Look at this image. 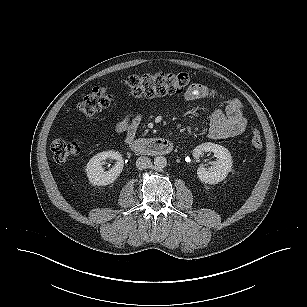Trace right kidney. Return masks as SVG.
Returning a JSON list of instances; mask_svg holds the SVG:
<instances>
[{
    "instance_id": "1",
    "label": "right kidney",
    "mask_w": 307,
    "mask_h": 307,
    "mask_svg": "<svg viewBox=\"0 0 307 307\" xmlns=\"http://www.w3.org/2000/svg\"><path fill=\"white\" fill-rule=\"evenodd\" d=\"M111 158L116 160L115 166L109 171H104L102 161ZM123 169V158L119 152L113 150L104 151L93 156L86 166L89 181L97 186H105L113 183Z\"/></svg>"
}]
</instances>
